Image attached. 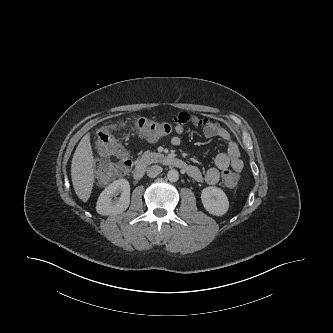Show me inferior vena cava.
<instances>
[{
  "instance_id": "602c4592",
  "label": "inferior vena cava",
  "mask_w": 333,
  "mask_h": 333,
  "mask_svg": "<svg viewBox=\"0 0 333 333\" xmlns=\"http://www.w3.org/2000/svg\"><path fill=\"white\" fill-rule=\"evenodd\" d=\"M163 171L159 165H153L147 169V175L151 178L157 177Z\"/></svg>"
}]
</instances>
